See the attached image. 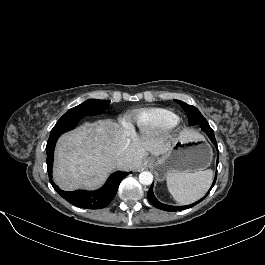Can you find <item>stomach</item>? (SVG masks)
I'll use <instances>...</instances> for the list:
<instances>
[{
	"label": "stomach",
	"mask_w": 265,
	"mask_h": 265,
	"mask_svg": "<svg viewBox=\"0 0 265 265\" xmlns=\"http://www.w3.org/2000/svg\"><path fill=\"white\" fill-rule=\"evenodd\" d=\"M212 161V149L202 137L178 140L170 146L155 163L158 176L165 177L173 172L192 173L206 169Z\"/></svg>",
	"instance_id": "1"
}]
</instances>
